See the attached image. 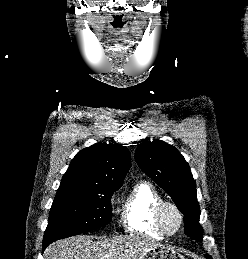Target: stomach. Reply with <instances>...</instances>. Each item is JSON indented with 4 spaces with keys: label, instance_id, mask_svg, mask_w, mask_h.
<instances>
[{
    "label": "stomach",
    "instance_id": "stomach-1",
    "mask_svg": "<svg viewBox=\"0 0 248 259\" xmlns=\"http://www.w3.org/2000/svg\"><path fill=\"white\" fill-rule=\"evenodd\" d=\"M141 259H186L172 248L159 246L145 253Z\"/></svg>",
    "mask_w": 248,
    "mask_h": 259
}]
</instances>
